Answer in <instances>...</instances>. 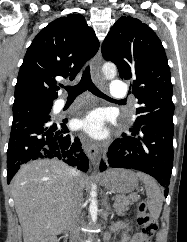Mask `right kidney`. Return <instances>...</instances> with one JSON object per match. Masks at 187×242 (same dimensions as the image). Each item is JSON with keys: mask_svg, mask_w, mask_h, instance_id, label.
Instances as JSON below:
<instances>
[{"mask_svg": "<svg viewBox=\"0 0 187 242\" xmlns=\"http://www.w3.org/2000/svg\"><path fill=\"white\" fill-rule=\"evenodd\" d=\"M45 242H59L55 236H51L45 240Z\"/></svg>", "mask_w": 187, "mask_h": 242, "instance_id": "obj_1", "label": "right kidney"}]
</instances>
